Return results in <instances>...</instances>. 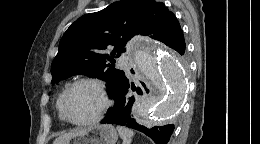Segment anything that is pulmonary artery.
Here are the masks:
<instances>
[{
	"instance_id": "e3ab8cb5",
	"label": "pulmonary artery",
	"mask_w": 260,
	"mask_h": 144,
	"mask_svg": "<svg viewBox=\"0 0 260 144\" xmlns=\"http://www.w3.org/2000/svg\"><path fill=\"white\" fill-rule=\"evenodd\" d=\"M119 63H120V65H121L123 68H128V66H127V64L125 63L124 60L120 59V60H119Z\"/></svg>"
}]
</instances>
